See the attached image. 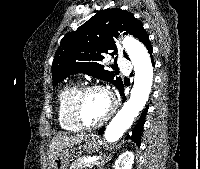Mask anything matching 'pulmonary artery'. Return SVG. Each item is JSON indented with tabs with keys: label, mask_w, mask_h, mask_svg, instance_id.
<instances>
[{
	"label": "pulmonary artery",
	"mask_w": 200,
	"mask_h": 169,
	"mask_svg": "<svg viewBox=\"0 0 200 169\" xmlns=\"http://www.w3.org/2000/svg\"><path fill=\"white\" fill-rule=\"evenodd\" d=\"M117 63L120 67H124L125 65H127V60L124 59L123 57H118Z\"/></svg>",
	"instance_id": "1"
}]
</instances>
